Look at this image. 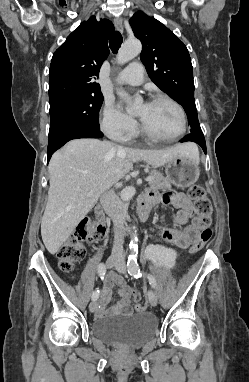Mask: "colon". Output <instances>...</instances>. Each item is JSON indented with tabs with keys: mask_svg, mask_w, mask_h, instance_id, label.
I'll list each match as a JSON object with an SVG mask.
<instances>
[{
	"mask_svg": "<svg viewBox=\"0 0 249 382\" xmlns=\"http://www.w3.org/2000/svg\"><path fill=\"white\" fill-rule=\"evenodd\" d=\"M188 196L193 200L196 218L195 226L200 230L198 238L190 247L191 253L202 250L212 237V202L201 185H192L188 189ZM100 227L89 219H82L74 233L65 241L58 251L59 266L63 272H71L74 265L85 256L84 242H95L100 236ZM136 310L143 311L145 306L135 296Z\"/></svg>",
	"mask_w": 249,
	"mask_h": 382,
	"instance_id": "5ec220e1",
	"label": "colon"
}]
</instances>
